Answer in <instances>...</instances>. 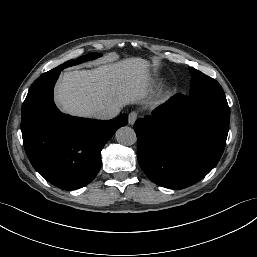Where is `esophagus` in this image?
<instances>
[{
	"mask_svg": "<svg viewBox=\"0 0 257 257\" xmlns=\"http://www.w3.org/2000/svg\"><path fill=\"white\" fill-rule=\"evenodd\" d=\"M137 112L136 111H132L130 114H129V117H128V123L130 125H133L137 119Z\"/></svg>",
	"mask_w": 257,
	"mask_h": 257,
	"instance_id": "34e87169",
	"label": "esophagus"
}]
</instances>
